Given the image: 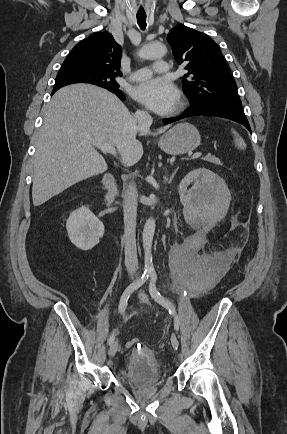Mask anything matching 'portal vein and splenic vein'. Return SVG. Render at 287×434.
Here are the masks:
<instances>
[{
	"label": "portal vein and splenic vein",
	"instance_id": "1",
	"mask_svg": "<svg viewBox=\"0 0 287 434\" xmlns=\"http://www.w3.org/2000/svg\"><path fill=\"white\" fill-rule=\"evenodd\" d=\"M93 144L98 149H100L102 152L110 153V154H112L114 156H116V154H117L115 147L113 145H111V144L102 143L100 141H93ZM201 156H202V153L201 152H197V153L193 154L191 158L192 159H196V158H199Z\"/></svg>",
	"mask_w": 287,
	"mask_h": 434
}]
</instances>
